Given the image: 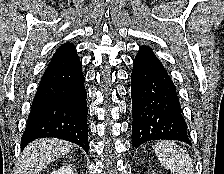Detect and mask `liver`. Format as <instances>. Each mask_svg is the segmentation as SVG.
<instances>
[{
  "label": "liver",
  "mask_w": 224,
  "mask_h": 174,
  "mask_svg": "<svg viewBox=\"0 0 224 174\" xmlns=\"http://www.w3.org/2000/svg\"><path fill=\"white\" fill-rule=\"evenodd\" d=\"M73 145L56 138L37 139L29 143L19 158L18 174H38L57 158L70 152Z\"/></svg>",
  "instance_id": "obj_1"
}]
</instances>
